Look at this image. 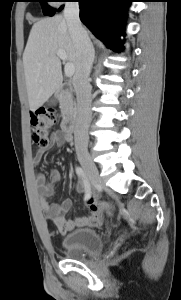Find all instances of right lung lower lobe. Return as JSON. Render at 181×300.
<instances>
[{
  "instance_id": "98d812e1",
  "label": "right lung lower lobe",
  "mask_w": 181,
  "mask_h": 300,
  "mask_svg": "<svg viewBox=\"0 0 181 300\" xmlns=\"http://www.w3.org/2000/svg\"><path fill=\"white\" fill-rule=\"evenodd\" d=\"M80 19L107 47L118 51V36L123 35L126 7L131 0H77ZM124 3L118 5L117 3ZM61 7L59 10H61Z\"/></svg>"
}]
</instances>
